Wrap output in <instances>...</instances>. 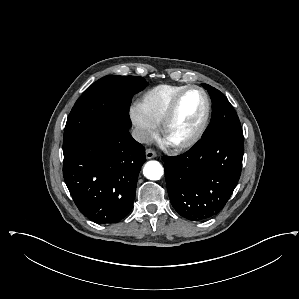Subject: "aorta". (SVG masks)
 I'll list each match as a JSON object with an SVG mask.
<instances>
[{"instance_id":"1","label":"aorta","mask_w":299,"mask_h":299,"mask_svg":"<svg viewBox=\"0 0 299 299\" xmlns=\"http://www.w3.org/2000/svg\"><path fill=\"white\" fill-rule=\"evenodd\" d=\"M164 173L162 165L158 161H148L143 168V174L147 179L159 180Z\"/></svg>"}]
</instances>
